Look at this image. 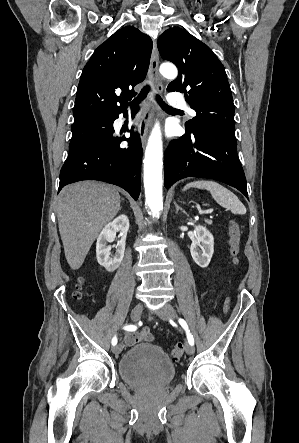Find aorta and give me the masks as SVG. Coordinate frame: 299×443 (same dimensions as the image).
Instances as JSON below:
<instances>
[{"mask_svg": "<svg viewBox=\"0 0 299 443\" xmlns=\"http://www.w3.org/2000/svg\"><path fill=\"white\" fill-rule=\"evenodd\" d=\"M160 73L167 79L177 77V69L172 64H162ZM163 146L159 124L156 123L149 137L144 158L145 201L153 217L159 216L163 208L162 195Z\"/></svg>", "mask_w": 299, "mask_h": 443, "instance_id": "aorta-1", "label": "aorta"}]
</instances>
